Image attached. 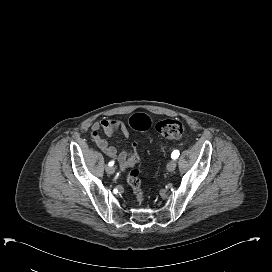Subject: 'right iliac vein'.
<instances>
[{"label": "right iliac vein", "mask_w": 272, "mask_h": 272, "mask_svg": "<svg viewBox=\"0 0 272 272\" xmlns=\"http://www.w3.org/2000/svg\"><path fill=\"white\" fill-rule=\"evenodd\" d=\"M106 172L108 173V174H114V172H115V167L114 166H106Z\"/></svg>", "instance_id": "obj_1"}]
</instances>
